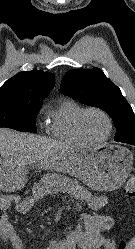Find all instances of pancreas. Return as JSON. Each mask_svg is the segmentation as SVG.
<instances>
[{"instance_id": "obj_1", "label": "pancreas", "mask_w": 135, "mask_h": 249, "mask_svg": "<svg viewBox=\"0 0 135 249\" xmlns=\"http://www.w3.org/2000/svg\"><path fill=\"white\" fill-rule=\"evenodd\" d=\"M66 190H67L69 193H74V194L78 192V189L71 188L70 186H67V187H66Z\"/></svg>"}]
</instances>
